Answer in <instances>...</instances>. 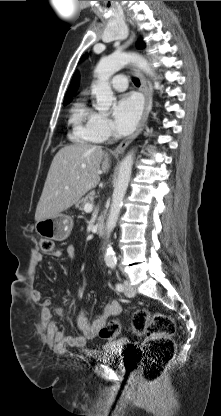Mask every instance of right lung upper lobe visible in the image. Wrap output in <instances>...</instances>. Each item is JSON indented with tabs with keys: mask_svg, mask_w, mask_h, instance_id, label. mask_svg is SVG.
I'll use <instances>...</instances> for the list:
<instances>
[{
	"mask_svg": "<svg viewBox=\"0 0 221 416\" xmlns=\"http://www.w3.org/2000/svg\"><path fill=\"white\" fill-rule=\"evenodd\" d=\"M78 86H79V75H78V73H76L74 75L73 80L70 84V87H69V89L66 93L64 101H70L71 100L72 96L77 91Z\"/></svg>",
	"mask_w": 221,
	"mask_h": 416,
	"instance_id": "1",
	"label": "right lung upper lobe"
}]
</instances>
